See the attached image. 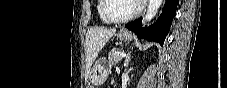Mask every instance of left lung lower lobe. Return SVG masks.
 Listing matches in <instances>:
<instances>
[{
    "mask_svg": "<svg viewBox=\"0 0 227 88\" xmlns=\"http://www.w3.org/2000/svg\"><path fill=\"white\" fill-rule=\"evenodd\" d=\"M178 2L179 0H166L160 17L148 28L141 26V19L130 22L125 27L133 31L139 38H145L163 45L172 20L176 15Z\"/></svg>",
    "mask_w": 227,
    "mask_h": 88,
    "instance_id": "obj_1",
    "label": "left lung lower lobe"
}]
</instances>
